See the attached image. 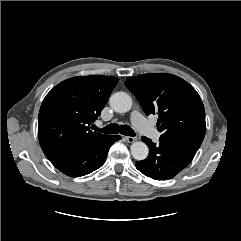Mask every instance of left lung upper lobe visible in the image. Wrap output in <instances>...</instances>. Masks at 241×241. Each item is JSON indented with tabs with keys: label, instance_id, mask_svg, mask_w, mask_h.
Wrapping results in <instances>:
<instances>
[{
	"label": "left lung upper lobe",
	"instance_id": "obj_1",
	"mask_svg": "<svg viewBox=\"0 0 241 241\" xmlns=\"http://www.w3.org/2000/svg\"><path fill=\"white\" fill-rule=\"evenodd\" d=\"M125 85L146 115H158L161 137L203 141L205 109L189 83L172 74L157 73L129 77Z\"/></svg>",
	"mask_w": 241,
	"mask_h": 241
}]
</instances>
